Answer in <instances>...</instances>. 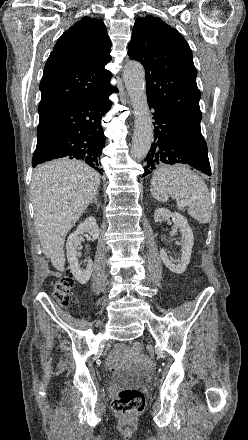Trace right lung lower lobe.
<instances>
[{
    "instance_id": "right-lung-lower-lobe-1",
    "label": "right lung lower lobe",
    "mask_w": 248,
    "mask_h": 440,
    "mask_svg": "<svg viewBox=\"0 0 248 440\" xmlns=\"http://www.w3.org/2000/svg\"><path fill=\"white\" fill-rule=\"evenodd\" d=\"M112 91L117 89L110 86L101 94L77 98L39 115L32 166L69 157L86 162L102 174L100 158L105 136L101 117L110 109L108 96Z\"/></svg>"
}]
</instances>
